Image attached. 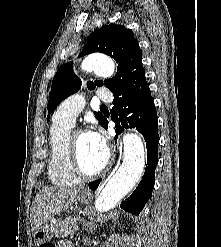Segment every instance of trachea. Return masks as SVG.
<instances>
[{
  "instance_id": "obj_1",
  "label": "trachea",
  "mask_w": 221,
  "mask_h": 247,
  "mask_svg": "<svg viewBox=\"0 0 221 247\" xmlns=\"http://www.w3.org/2000/svg\"><path fill=\"white\" fill-rule=\"evenodd\" d=\"M100 108H101V109H107V106L104 105V104H102V105L100 106Z\"/></svg>"
}]
</instances>
